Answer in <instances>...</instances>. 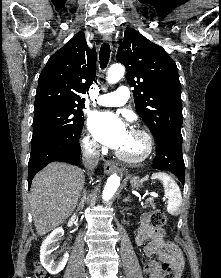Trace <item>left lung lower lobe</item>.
<instances>
[{
    "label": "left lung lower lobe",
    "mask_w": 221,
    "mask_h": 278,
    "mask_svg": "<svg viewBox=\"0 0 221 278\" xmlns=\"http://www.w3.org/2000/svg\"><path fill=\"white\" fill-rule=\"evenodd\" d=\"M155 140L156 157L152 168L172 172L184 185L185 164L182 154V135L165 133Z\"/></svg>",
    "instance_id": "left-lung-lower-lobe-1"
}]
</instances>
